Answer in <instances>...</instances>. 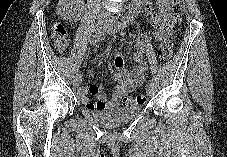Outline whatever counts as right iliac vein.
Instances as JSON below:
<instances>
[{"label": "right iliac vein", "mask_w": 227, "mask_h": 157, "mask_svg": "<svg viewBox=\"0 0 227 157\" xmlns=\"http://www.w3.org/2000/svg\"><path fill=\"white\" fill-rule=\"evenodd\" d=\"M81 84V76L79 74H76L74 79H73V86L75 88L79 87Z\"/></svg>", "instance_id": "obj_1"}]
</instances>
